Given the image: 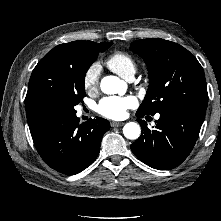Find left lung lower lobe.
<instances>
[{
	"instance_id": "obj_1",
	"label": "left lung lower lobe",
	"mask_w": 221,
	"mask_h": 221,
	"mask_svg": "<svg viewBox=\"0 0 221 221\" xmlns=\"http://www.w3.org/2000/svg\"><path fill=\"white\" fill-rule=\"evenodd\" d=\"M206 109L177 105L161 111L155 129L138 119L141 136L131 145L135 156L146 165L169 170L180 165L189 155L198 138ZM145 114L136 113L138 118Z\"/></svg>"
}]
</instances>
